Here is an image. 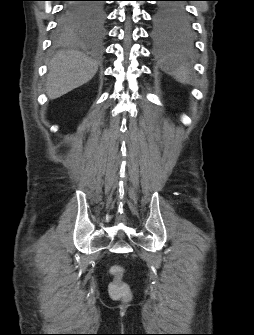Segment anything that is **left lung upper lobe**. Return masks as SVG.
I'll use <instances>...</instances> for the list:
<instances>
[{
  "mask_svg": "<svg viewBox=\"0 0 254 335\" xmlns=\"http://www.w3.org/2000/svg\"><path fill=\"white\" fill-rule=\"evenodd\" d=\"M162 3L154 15L155 34L169 36L187 32L191 23L189 14L182 1L185 0H158Z\"/></svg>",
  "mask_w": 254,
  "mask_h": 335,
  "instance_id": "left-lung-upper-lobe-1",
  "label": "left lung upper lobe"
}]
</instances>
